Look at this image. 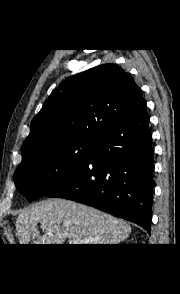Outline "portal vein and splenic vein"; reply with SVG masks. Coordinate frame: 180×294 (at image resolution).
Segmentation results:
<instances>
[{"mask_svg":"<svg viewBox=\"0 0 180 294\" xmlns=\"http://www.w3.org/2000/svg\"><path fill=\"white\" fill-rule=\"evenodd\" d=\"M43 227H45L44 225H43ZM83 243V241L82 240H80V239H72V244H82Z\"/></svg>","mask_w":180,"mask_h":294,"instance_id":"obj_1","label":"portal vein and splenic vein"}]
</instances>
